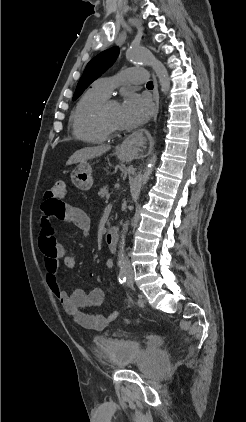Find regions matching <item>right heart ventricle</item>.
Instances as JSON below:
<instances>
[{"instance_id": "obj_1", "label": "right heart ventricle", "mask_w": 246, "mask_h": 422, "mask_svg": "<svg viewBox=\"0 0 246 422\" xmlns=\"http://www.w3.org/2000/svg\"><path fill=\"white\" fill-rule=\"evenodd\" d=\"M108 96L95 86L88 89L77 102L72 114L73 134L79 140L99 144L108 139V134L101 128L97 111Z\"/></svg>"}]
</instances>
